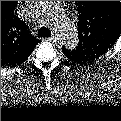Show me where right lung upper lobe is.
Masks as SVG:
<instances>
[{"label":"right lung upper lobe","instance_id":"right-lung-upper-lobe-1","mask_svg":"<svg viewBox=\"0 0 121 121\" xmlns=\"http://www.w3.org/2000/svg\"><path fill=\"white\" fill-rule=\"evenodd\" d=\"M2 14H4V16L1 17L2 18L1 19V45L2 43H5L7 44L6 46L9 47V49H12V51H16L17 42L18 43L22 42L23 43L22 46H24V44H29L30 36L26 32V28H24V25L21 22L17 21L16 19H13L12 14L9 13V11L6 10L5 13L1 11V15ZM6 22L8 26L13 25L14 27H16V29H13L14 31L12 32V34H10V36H8L5 33V31H3L4 30L3 24H5ZM1 51H2V48H1Z\"/></svg>","mask_w":121,"mask_h":121}]
</instances>
